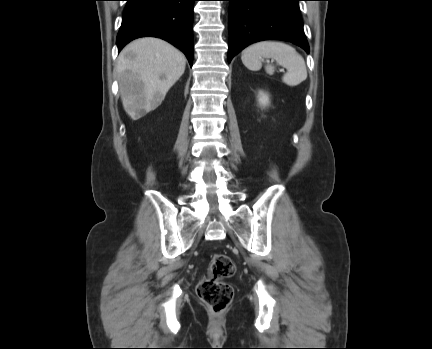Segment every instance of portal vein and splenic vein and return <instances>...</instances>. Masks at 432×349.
<instances>
[{
	"mask_svg": "<svg viewBox=\"0 0 432 349\" xmlns=\"http://www.w3.org/2000/svg\"><path fill=\"white\" fill-rule=\"evenodd\" d=\"M280 71H281V72H284V69H281Z\"/></svg>",
	"mask_w": 432,
	"mask_h": 349,
	"instance_id": "18ae733b",
	"label": "portal vein and splenic vein"
}]
</instances>
